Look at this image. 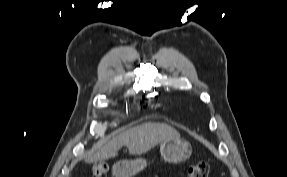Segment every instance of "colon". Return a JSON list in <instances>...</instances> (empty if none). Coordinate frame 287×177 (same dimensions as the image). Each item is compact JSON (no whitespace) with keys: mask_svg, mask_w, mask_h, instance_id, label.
<instances>
[{"mask_svg":"<svg viewBox=\"0 0 287 177\" xmlns=\"http://www.w3.org/2000/svg\"><path fill=\"white\" fill-rule=\"evenodd\" d=\"M108 171L106 163H98L94 165L91 170V177H104ZM210 166L205 161L197 162L190 166L188 170V177H209Z\"/></svg>","mask_w":287,"mask_h":177,"instance_id":"5ec220e1","label":"colon"}]
</instances>
